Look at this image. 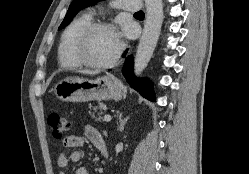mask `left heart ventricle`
Segmentation results:
<instances>
[{
	"label": "left heart ventricle",
	"instance_id": "left-heart-ventricle-1",
	"mask_svg": "<svg viewBox=\"0 0 249 174\" xmlns=\"http://www.w3.org/2000/svg\"><path fill=\"white\" fill-rule=\"evenodd\" d=\"M118 47V35L108 30L95 32L87 43L86 57L94 63L109 61L115 54Z\"/></svg>",
	"mask_w": 249,
	"mask_h": 174
}]
</instances>
